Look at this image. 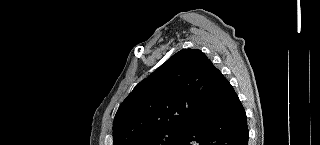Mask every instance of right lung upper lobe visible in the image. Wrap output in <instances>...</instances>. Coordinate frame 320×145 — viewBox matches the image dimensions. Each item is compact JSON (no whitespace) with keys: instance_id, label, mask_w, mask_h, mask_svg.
<instances>
[{"instance_id":"obj_1","label":"right lung upper lobe","mask_w":320,"mask_h":145,"mask_svg":"<svg viewBox=\"0 0 320 145\" xmlns=\"http://www.w3.org/2000/svg\"><path fill=\"white\" fill-rule=\"evenodd\" d=\"M225 77L197 49L174 54L142 80L118 108L113 145H130L158 130L185 128L207 116Z\"/></svg>"}]
</instances>
